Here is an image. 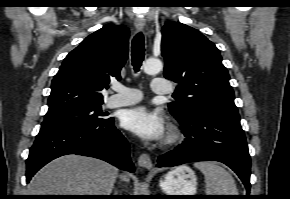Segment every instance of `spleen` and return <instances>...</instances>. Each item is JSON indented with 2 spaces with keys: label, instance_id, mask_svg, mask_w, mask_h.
I'll return each instance as SVG.
<instances>
[{
  "label": "spleen",
  "instance_id": "3e777b00",
  "mask_svg": "<svg viewBox=\"0 0 290 199\" xmlns=\"http://www.w3.org/2000/svg\"><path fill=\"white\" fill-rule=\"evenodd\" d=\"M194 166L204 174L206 195H238L234 179L217 163L197 162Z\"/></svg>",
  "mask_w": 290,
  "mask_h": 199
}]
</instances>
